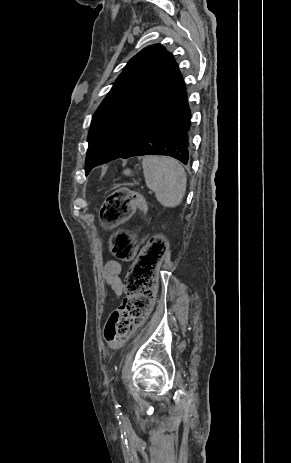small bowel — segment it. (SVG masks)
Returning a JSON list of instances; mask_svg holds the SVG:
<instances>
[{"label":"small bowel","mask_w":291,"mask_h":463,"mask_svg":"<svg viewBox=\"0 0 291 463\" xmlns=\"http://www.w3.org/2000/svg\"><path fill=\"white\" fill-rule=\"evenodd\" d=\"M121 273L122 265L116 260L107 261L102 270L103 278L113 291L115 298H119L123 293Z\"/></svg>","instance_id":"1"}]
</instances>
